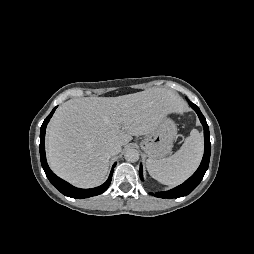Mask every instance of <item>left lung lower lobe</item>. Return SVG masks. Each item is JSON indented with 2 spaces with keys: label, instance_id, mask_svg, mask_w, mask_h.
Listing matches in <instances>:
<instances>
[{
  "label": "left lung lower lobe",
  "instance_id": "obj_1",
  "mask_svg": "<svg viewBox=\"0 0 254 254\" xmlns=\"http://www.w3.org/2000/svg\"><path fill=\"white\" fill-rule=\"evenodd\" d=\"M189 105L195 110V112L198 114V117L204 127V140H205V149H204V156L202 159V162L197 169V171L183 184L177 186L176 188H173L169 191L165 192H157L155 194L151 193L155 197L159 198H179L185 195L190 194L201 182L203 179V176L205 172L208 169L209 160H210V153H211V144H210V133H209V127L207 125L206 119L201 113L200 109L190 102L188 100ZM140 178L142 179V165H140L139 170Z\"/></svg>",
  "mask_w": 254,
  "mask_h": 254
}]
</instances>
